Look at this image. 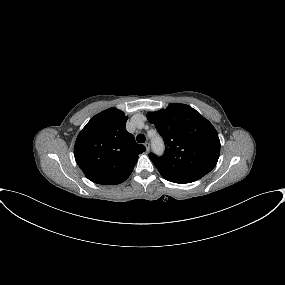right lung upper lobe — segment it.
Here are the masks:
<instances>
[{
    "mask_svg": "<svg viewBox=\"0 0 285 285\" xmlns=\"http://www.w3.org/2000/svg\"><path fill=\"white\" fill-rule=\"evenodd\" d=\"M128 117L109 108L95 115L79 133L74 156L86 177L94 183L117 185L125 181L145 147L126 131Z\"/></svg>",
    "mask_w": 285,
    "mask_h": 285,
    "instance_id": "cb5924a9",
    "label": "right lung upper lobe"
}]
</instances>
